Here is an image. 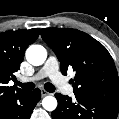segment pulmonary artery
<instances>
[{"instance_id":"obj_1","label":"pulmonary artery","mask_w":119,"mask_h":119,"mask_svg":"<svg viewBox=\"0 0 119 119\" xmlns=\"http://www.w3.org/2000/svg\"><path fill=\"white\" fill-rule=\"evenodd\" d=\"M49 77L56 86L65 93H72V87L66 82L65 78L59 72V63L57 59L50 56L41 70L33 77H21V82L35 81Z\"/></svg>"}]
</instances>
